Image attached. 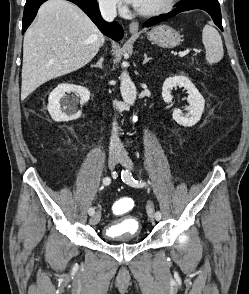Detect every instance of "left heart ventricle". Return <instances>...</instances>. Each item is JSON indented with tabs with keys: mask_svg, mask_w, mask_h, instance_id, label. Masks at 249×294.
<instances>
[{
	"mask_svg": "<svg viewBox=\"0 0 249 294\" xmlns=\"http://www.w3.org/2000/svg\"><path fill=\"white\" fill-rule=\"evenodd\" d=\"M169 0H139L137 7L143 10H152L164 6Z\"/></svg>",
	"mask_w": 249,
	"mask_h": 294,
	"instance_id": "1",
	"label": "left heart ventricle"
}]
</instances>
